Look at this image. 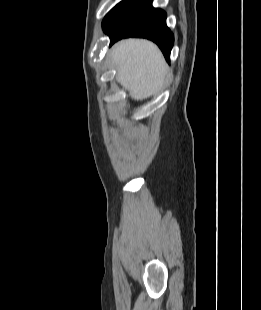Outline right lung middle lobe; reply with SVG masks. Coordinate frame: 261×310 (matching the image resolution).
<instances>
[{
    "mask_svg": "<svg viewBox=\"0 0 261 310\" xmlns=\"http://www.w3.org/2000/svg\"><path fill=\"white\" fill-rule=\"evenodd\" d=\"M132 0H123L118 3L104 18L103 27L106 26L112 19H114Z\"/></svg>",
    "mask_w": 261,
    "mask_h": 310,
    "instance_id": "obj_1",
    "label": "right lung middle lobe"
}]
</instances>
